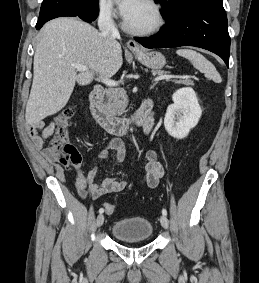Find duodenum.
I'll return each mask as SVG.
<instances>
[{
	"instance_id": "obj_1",
	"label": "duodenum",
	"mask_w": 259,
	"mask_h": 283,
	"mask_svg": "<svg viewBox=\"0 0 259 283\" xmlns=\"http://www.w3.org/2000/svg\"><path fill=\"white\" fill-rule=\"evenodd\" d=\"M104 89L95 87L90 94L91 113L102 128L111 134L124 135L132 126L146 127L151 125L149 103H144L131 118H120L111 115L103 104Z\"/></svg>"
}]
</instances>
